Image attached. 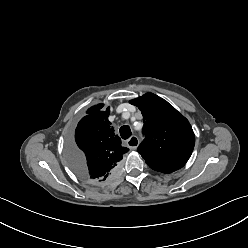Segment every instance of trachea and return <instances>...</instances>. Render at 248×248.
Masks as SVG:
<instances>
[{
    "label": "trachea",
    "mask_w": 248,
    "mask_h": 248,
    "mask_svg": "<svg viewBox=\"0 0 248 248\" xmlns=\"http://www.w3.org/2000/svg\"><path fill=\"white\" fill-rule=\"evenodd\" d=\"M120 135L123 139H128L131 136V129L129 126H122L119 130Z\"/></svg>",
    "instance_id": "obj_1"
}]
</instances>
